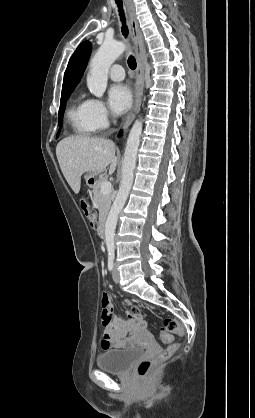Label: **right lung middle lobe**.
I'll list each match as a JSON object with an SVG mask.
<instances>
[{"label":"right lung middle lobe","mask_w":255,"mask_h":418,"mask_svg":"<svg viewBox=\"0 0 255 418\" xmlns=\"http://www.w3.org/2000/svg\"><path fill=\"white\" fill-rule=\"evenodd\" d=\"M72 91L73 90H68V91L62 92L61 103H60L59 114H58V124H59L60 128L62 127V120H63L64 110H65V107H66V101L68 100Z\"/></svg>","instance_id":"1"}]
</instances>
